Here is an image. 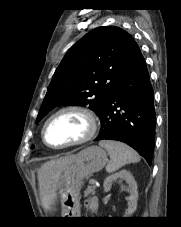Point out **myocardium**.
<instances>
[{"label": "myocardium", "mask_w": 181, "mask_h": 227, "mask_svg": "<svg viewBox=\"0 0 181 227\" xmlns=\"http://www.w3.org/2000/svg\"><path fill=\"white\" fill-rule=\"evenodd\" d=\"M68 112L79 114L85 119V122H86L85 133L80 138L70 141L68 143H65L63 145L55 146V145L50 144L46 139V129H47L49 123L55 117H57L63 113H68ZM97 129H98V120L92 110H90L87 107L80 106V105H67V106L61 107L60 109L56 110L46 119V121L43 124L42 130H41V137H42V141L44 142V144L46 146H48L52 149H64V148H68V147H72V146H76V145H81V144H84V143L90 141L95 136Z\"/></svg>", "instance_id": "obj_1"}]
</instances>
